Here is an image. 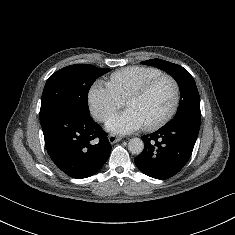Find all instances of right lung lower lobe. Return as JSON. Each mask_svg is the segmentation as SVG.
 Returning <instances> with one entry per match:
<instances>
[{
  "instance_id": "1",
  "label": "right lung lower lobe",
  "mask_w": 235,
  "mask_h": 235,
  "mask_svg": "<svg viewBox=\"0 0 235 235\" xmlns=\"http://www.w3.org/2000/svg\"><path fill=\"white\" fill-rule=\"evenodd\" d=\"M40 122L50 158L70 177H90L107 161L111 145L89 115L64 109Z\"/></svg>"
}]
</instances>
